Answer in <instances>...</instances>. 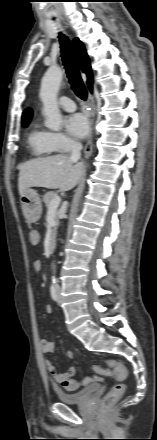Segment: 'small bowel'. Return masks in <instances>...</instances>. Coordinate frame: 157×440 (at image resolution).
Segmentation results:
<instances>
[{
	"label": "small bowel",
	"mask_w": 157,
	"mask_h": 440,
	"mask_svg": "<svg viewBox=\"0 0 157 440\" xmlns=\"http://www.w3.org/2000/svg\"><path fill=\"white\" fill-rule=\"evenodd\" d=\"M40 270H41V266L37 267L36 265H34L35 272H39ZM45 311H46V313L50 314L52 312L51 306L47 305L45 308ZM40 346H41V350L44 354L53 353L55 350V343L51 340H48V339L42 338L40 340ZM66 356L69 359H73L74 352L71 349H69L66 351ZM45 367H46L48 373L51 375V377L54 380L56 385H63L64 381L72 378L76 374V371H77L76 367L72 365L67 369L66 372H64L62 374H58L54 364L48 359L45 361Z\"/></svg>",
	"instance_id": "small-bowel-1"
}]
</instances>
